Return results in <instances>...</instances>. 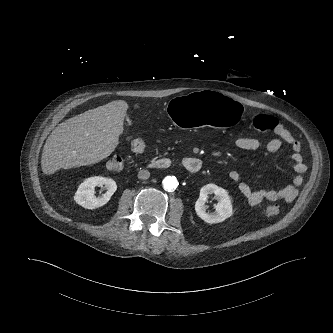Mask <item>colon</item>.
<instances>
[{
	"label": "colon",
	"instance_id": "1",
	"mask_svg": "<svg viewBox=\"0 0 333 333\" xmlns=\"http://www.w3.org/2000/svg\"><path fill=\"white\" fill-rule=\"evenodd\" d=\"M277 120L270 115H257L253 119V127L258 132H267L274 130L277 125ZM129 157L114 156L106 162V168L110 171L121 170ZM279 213V206L277 204H270L264 208V214L268 217L276 216Z\"/></svg>",
	"mask_w": 333,
	"mask_h": 333
}]
</instances>
